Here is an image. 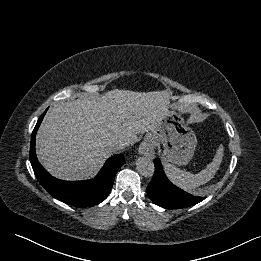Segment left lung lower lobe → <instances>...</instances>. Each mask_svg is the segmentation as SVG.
<instances>
[{
    "label": "left lung lower lobe",
    "mask_w": 261,
    "mask_h": 261,
    "mask_svg": "<svg viewBox=\"0 0 261 261\" xmlns=\"http://www.w3.org/2000/svg\"><path fill=\"white\" fill-rule=\"evenodd\" d=\"M154 165L155 173L147 187V194L155 204L166 209H182L204 200V197L193 196L173 185L165 176L158 158Z\"/></svg>",
    "instance_id": "obj_1"
}]
</instances>
